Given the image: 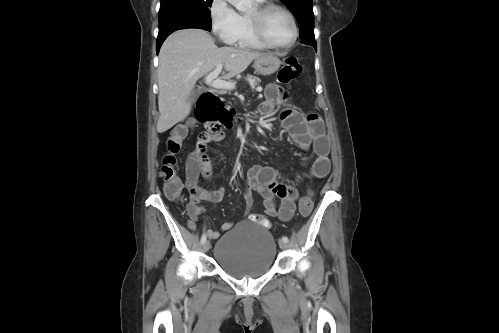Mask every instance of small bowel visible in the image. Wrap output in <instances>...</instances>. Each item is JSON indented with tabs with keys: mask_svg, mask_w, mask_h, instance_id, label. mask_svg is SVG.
I'll return each mask as SVG.
<instances>
[{
	"mask_svg": "<svg viewBox=\"0 0 499 333\" xmlns=\"http://www.w3.org/2000/svg\"><path fill=\"white\" fill-rule=\"evenodd\" d=\"M287 98L288 94L281 86L275 83L268 84L265 89V101L259 107L260 113L265 115L272 113L274 108ZM281 122L301 149L312 148L316 155L312 164V175L317 179L324 178L330 171L331 163L328 157L329 144L322 119L315 113L304 115L297 109L288 107L281 112ZM223 138L224 134L221 130L213 134L201 133L195 150L186 161L185 186L190 195L187 207L192 217L201 212V202L217 203L224 197L223 187L210 190L199 182L200 178L207 181L212 180L213 171L208 155V146L210 143L220 142ZM251 191L258 192L263 198L264 212L267 216L277 217L284 222L292 218L299 196L298 191L294 186L280 182L271 167L255 165L248 170L244 190L245 215H249L254 204ZM276 199H280L278 209L276 208ZM232 226V222L224 223L221 226V231H227ZM208 236L211 239H217L220 233L209 230Z\"/></svg>",
	"mask_w": 499,
	"mask_h": 333,
	"instance_id": "small-bowel-1",
	"label": "small bowel"
}]
</instances>
